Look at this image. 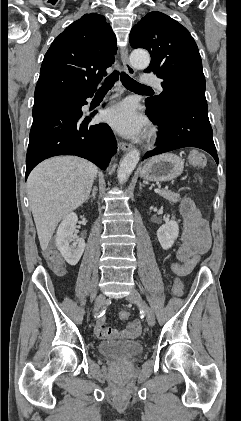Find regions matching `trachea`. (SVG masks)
I'll use <instances>...</instances> for the list:
<instances>
[{"mask_svg":"<svg viewBox=\"0 0 241 421\" xmlns=\"http://www.w3.org/2000/svg\"><path fill=\"white\" fill-rule=\"evenodd\" d=\"M121 82L123 85L132 91H144L150 89L132 79L129 75L122 72L120 73ZM119 79V72L114 71L106 80V82L99 88L98 92H108L114 85V82Z\"/></svg>","mask_w":241,"mask_h":421,"instance_id":"trachea-1","label":"trachea"}]
</instances>
